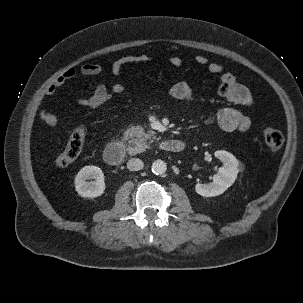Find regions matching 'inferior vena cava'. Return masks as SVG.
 Here are the masks:
<instances>
[{
  "mask_svg": "<svg viewBox=\"0 0 303 303\" xmlns=\"http://www.w3.org/2000/svg\"><path fill=\"white\" fill-rule=\"evenodd\" d=\"M143 167H144L143 161L138 158H131L127 162V168L130 171H138V170H141Z\"/></svg>",
  "mask_w": 303,
  "mask_h": 303,
  "instance_id": "inferior-vena-cava-1",
  "label": "inferior vena cava"
}]
</instances>
